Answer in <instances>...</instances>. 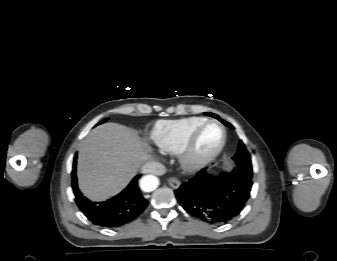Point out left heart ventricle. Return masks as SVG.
I'll list each match as a JSON object with an SVG mask.
<instances>
[{"label": "left heart ventricle", "mask_w": 337, "mask_h": 261, "mask_svg": "<svg viewBox=\"0 0 337 261\" xmlns=\"http://www.w3.org/2000/svg\"><path fill=\"white\" fill-rule=\"evenodd\" d=\"M221 131L217 125L207 126L199 135L195 153L198 156L205 155L212 151L220 142Z\"/></svg>", "instance_id": "1"}]
</instances>
